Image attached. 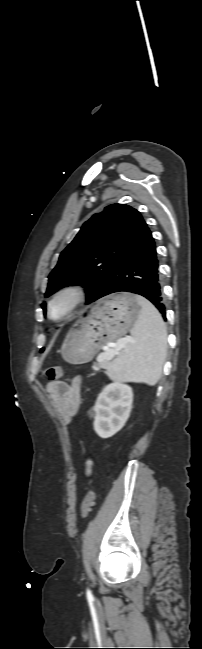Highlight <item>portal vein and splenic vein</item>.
<instances>
[{"label":"portal vein and splenic vein","mask_w":202,"mask_h":649,"mask_svg":"<svg viewBox=\"0 0 202 649\" xmlns=\"http://www.w3.org/2000/svg\"><path fill=\"white\" fill-rule=\"evenodd\" d=\"M133 341H134V340H133L132 338H122V339H120V340L118 341V344H117V346L115 347V350H114V351H112V350H108V352H105V353L100 354V355L97 357V361H98V362H101V361H103V360H105V359H107V360H112L113 357H114V355H115V352H116V351H118V350H120L121 348H123L124 345H125L126 343H128V342H133ZM93 369H94V370H97L98 367H97V366H94Z\"/></svg>","instance_id":"portal-vein-and-splenic-vein-1"}]
</instances>
